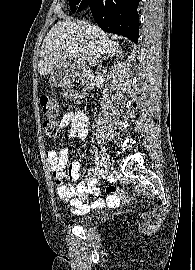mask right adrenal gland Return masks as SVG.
I'll use <instances>...</instances> for the list:
<instances>
[{
    "mask_svg": "<svg viewBox=\"0 0 195 270\" xmlns=\"http://www.w3.org/2000/svg\"><path fill=\"white\" fill-rule=\"evenodd\" d=\"M112 57V55L107 54L106 57H104V60H107L108 58Z\"/></svg>",
    "mask_w": 195,
    "mask_h": 270,
    "instance_id": "2a0ac1e0",
    "label": "right adrenal gland"
}]
</instances>
